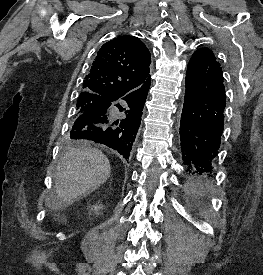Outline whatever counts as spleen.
<instances>
[{
	"instance_id": "obj_1",
	"label": "spleen",
	"mask_w": 263,
	"mask_h": 275,
	"mask_svg": "<svg viewBox=\"0 0 263 275\" xmlns=\"http://www.w3.org/2000/svg\"><path fill=\"white\" fill-rule=\"evenodd\" d=\"M197 189H199V185L198 184L197 185L193 184L192 185V190H194L196 192Z\"/></svg>"
}]
</instances>
